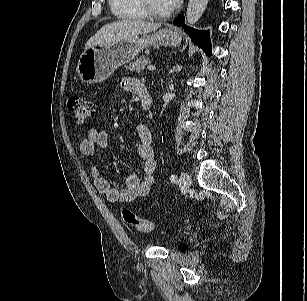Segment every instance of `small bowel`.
Returning a JSON list of instances; mask_svg holds the SVG:
<instances>
[{
    "label": "small bowel",
    "mask_w": 307,
    "mask_h": 301,
    "mask_svg": "<svg viewBox=\"0 0 307 301\" xmlns=\"http://www.w3.org/2000/svg\"><path fill=\"white\" fill-rule=\"evenodd\" d=\"M122 85L134 94H138V90L144 87L139 80L132 78L124 79ZM135 133L138 140L137 154L144 163L142 178L135 174L129 175L125 180V187L118 190L101 175L97 166L93 165L90 169L95 188L112 203L132 202L145 197L150 193L154 183L156 160L150 130L146 125L140 124L136 126ZM97 147L107 150L109 147L108 138L102 129L91 128L81 140L79 148L83 155L91 157Z\"/></svg>",
    "instance_id": "obj_1"
}]
</instances>
